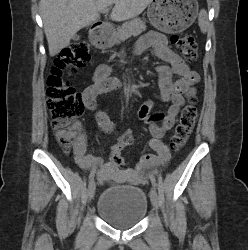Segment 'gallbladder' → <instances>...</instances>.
Instances as JSON below:
<instances>
[{
    "label": "gallbladder",
    "instance_id": "obj_1",
    "mask_svg": "<svg viewBox=\"0 0 248 250\" xmlns=\"http://www.w3.org/2000/svg\"><path fill=\"white\" fill-rule=\"evenodd\" d=\"M79 38H80L79 35H74V36L72 37L73 40H78Z\"/></svg>",
    "mask_w": 248,
    "mask_h": 250
}]
</instances>
